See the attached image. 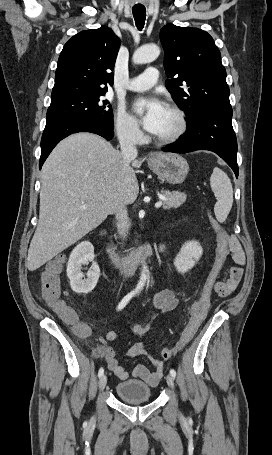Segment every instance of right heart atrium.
<instances>
[{
  "mask_svg": "<svg viewBox=\"0 0 272 455\" xmlns=\"http://www.w3.org/2000/svg\"><path fill=\"white\" fill-rule=\"evenodd\" d=\"M114 128L119 140L126 144L136 145L143 138L137 122L122 108L116 111Z\"/></svg>",
  "mask_w": 272,
  "mask_h": 455,
  "instance_id": "right-heart-atrium-1",
  "label": "right heart atrium"
}]
</instances>
